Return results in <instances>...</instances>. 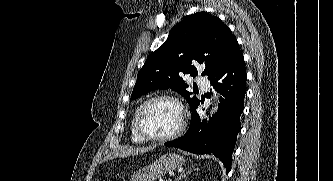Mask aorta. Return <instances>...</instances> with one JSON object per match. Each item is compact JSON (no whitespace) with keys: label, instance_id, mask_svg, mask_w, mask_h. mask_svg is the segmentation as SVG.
<instances>
[{"label":"aorta","instance_id":"762f6f07","mask_svg":"<svg viewBox=\"0 0 333 181\" xmlns=\"http://www.w3.org/2000/svg\"><path fill=\"white\" fill-rule=\"evenodd\" d=\"M216 110H217V106H216V104H215V107L212 108L211 113H212V114L215 113Z\"/></svg>","mask_w":333,"mask_h":181}]
</instances>
